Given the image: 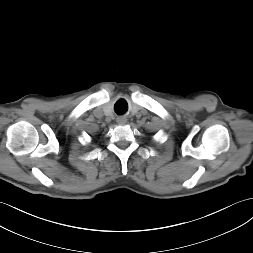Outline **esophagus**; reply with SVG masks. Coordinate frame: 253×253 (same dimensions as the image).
<instances>
[{
    "instance_id": "34e87169",
    "label": "esophagus",
    "mask_w": 253,
    "mask_h": 253,
    "mask_svg": "<svg viewBox=\"0 0 253 253\" xmlns=\"http://www.w3.org/2000/svg\"><path fill=\"white\" fill-rule=\"evenodd\" d=\"M117 122H118L119 124H125V123H126V119H125L124 117H119V118L117 119Z\"/></svg>"
}]
</instances>
